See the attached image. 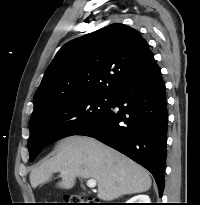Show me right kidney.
<instances>
[{
    "mask_svg": "<svg viewBox=\"0 0 200 205\" xmlns=\"http://www.w3.org/2000/svg\"><path fill=\"white\" fill-rule=\"evenodd\" d=\"M126 203H151L148 195L140 194L130 198Z\"/></svg>",
    "mask_w": 200,
    "mask_h": 205,
    "instance_id": "ca27d5eb",
    "label": "right kidney"
}]
</instances>
